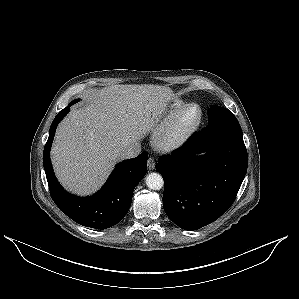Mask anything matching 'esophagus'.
Masks as SVG:
<instances>
[{
	"label": "esophagus",
	"mask_w": 299,
	"mask_h": 299,
	"mask_svg": "<svg viewBox=\"0 0 299 299\" xmlns=\"http://www.w3.org/2000/svg\"><path fill=\"white\" fill-rule=\"evenodd\" d=\"M155 160L154 158H149L148 161H147V165H148V168L150 170H153L155 168Z\"/></svg>",
	"instance_id": "1"
}]
</instances>
